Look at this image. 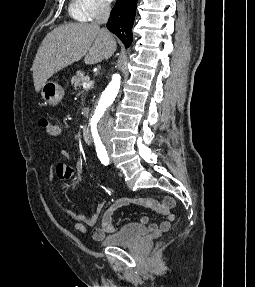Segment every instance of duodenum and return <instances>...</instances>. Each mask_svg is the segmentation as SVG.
<instances>
[{
	"label": "duodenum",
	"instance_id": "obj_1",
	"mask_svg": "<svg viewBox=\"0 0 255 287\" xmlns=\"http://www.w3.org/2000/svg\"><path fill=\"white\" fill-rule=\"evenodd\" d=\"M82 138L85 143L90 144L91 143V136H90V130L88 127H83L81 131Z\"/></svg>",
	"mask_w": 255,
	"mask_h": 287
}]
</instances>
